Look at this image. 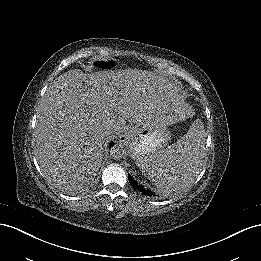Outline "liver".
Masks as SVG:
<instances>
[{
    "mask_svg": "<svg viewBox=\"0 0 261 261\" xmlns=\"http://www.w3.org/2000/svg\"><path fill=\"white\" fill-rule=\"evenodd\" d=\"M133 100L129 88L105 71L74 70L52 85L40 102L35 130V156L43 172L59 182L82 180L99 164L107 131L117 132L127 118L141 124L162 116L164 102Z\"/></svg>",
    "mask_w": 261,
    "mask_h": 261,
    "instance_id": "6515ba94",
    "label": "liver"
}]
</instances>
